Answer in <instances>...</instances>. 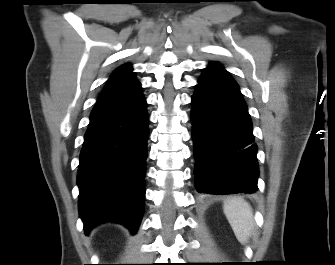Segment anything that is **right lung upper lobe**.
<instances>
[{
	"instance_id": "cb5924a9",
	"label": "right lung upper lobe",
	"mask_w": 335,
	"mask_h": 265,
	"mask_svg": "<svg viewBox=\"0 0 335 265\" xmlns=\"http://www.w3.org/2000/svg\"><path fill=\"white\" fill-rule=\"evenodd\" d=\"M139 91H141V84L132 72L131 64L126 63L113 72L98 101L121 99Z\"/></svg>"
}]
</instances>
